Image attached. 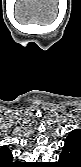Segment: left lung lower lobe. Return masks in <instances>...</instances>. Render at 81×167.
<instances>
[{
    "label": "left lung lower lobe",
    "instance_id": "0a47b994",
    "mask_svg": "<svg viewBox=\"0 0 81 167\" xmlns=\"http://www.w3.org/2000/svg\"><path fill=\"white\" fill-rule=\"evenodd\" d=\"M81 146L74 142H65L59 157L60 167H79L81 164Z\"/></svg>",
    "mask_w": 81,
    "mask_h": 167
}]
</instances>
